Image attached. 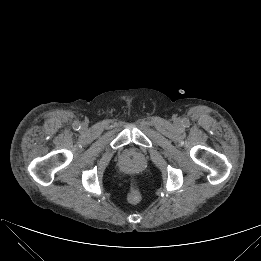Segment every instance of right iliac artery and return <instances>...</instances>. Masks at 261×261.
<instances>
[{"mask_svg": "<svg viewBox=\"0 0 261 261\" xmlns=\"http://www.w3.org/2000/svg\"><path fill=\"white\" fill-rule=\"evenodd\" d=\"M73 128H74L75 130H79V129H80V124L75 123Z\"/></svg>", "mask_w": 261, "mask_h": 261, "instance_id": "right-iliac-artery-1", "label": "right iliac artery"}]
</instances>
